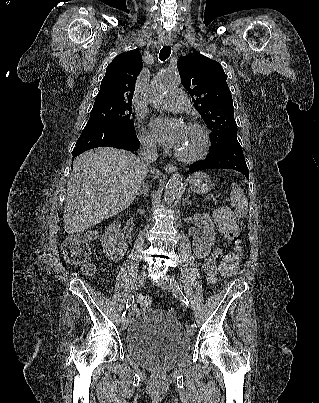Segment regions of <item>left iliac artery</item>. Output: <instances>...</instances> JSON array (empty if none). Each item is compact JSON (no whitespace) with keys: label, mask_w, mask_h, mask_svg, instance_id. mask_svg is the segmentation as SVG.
I'll return each instance as SVG.
<instances>
[{"label":"left iliac artery","mask_w":319,"mask_h":403,"mask_svg":"<svg viewBox=\"0 0 319 403\" xmlns=\"http://www.w3.org/2000/svg\"><path fill=\"white\" fill-rule=\"evenodd\" d=\"M170 289L172 290L173 295L180 301H182L186 306H189V301L183 294L181 288L179 287L178 282L176 281L175 277H170ZM187 327H192L196 329V324L193 323L191 325H187Z\"/></svg>","instance_id":"44dca946"}]
</instances>
